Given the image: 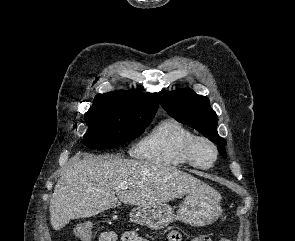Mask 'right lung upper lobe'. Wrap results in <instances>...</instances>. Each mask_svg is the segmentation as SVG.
Segmentation results:
<instances>
[{
    "instance_id": "right-lung-upper-lobe-1",
    "label": "right lung upper lobe",
    "mask_w": 295,
    "mask_h": 241,
    "mask_svg": "<svg viewBox=\"0 0 295 241\" xmlns=\"http://www.w3.org/2000/svg\"><path fill=\"white\" fill-rule=\"evenodd\" d=\"M111 99L118 100L127 106L138 108L142 111L155 115L158 108L157 93L140 94L137 90L131 91H114L107 94H99Z\"/></svg>"
}]
</instances>
